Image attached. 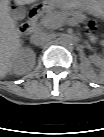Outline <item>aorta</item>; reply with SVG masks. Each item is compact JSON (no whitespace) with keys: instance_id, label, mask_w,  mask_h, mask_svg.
I'll return each mask as SVG.
<instances>
[{"instance_id":"obj_1","label":"aorta","mask_w":104,"mask_h":137,"mask_svg":"<svg viewBox=\"0 0 104 137\" xmlns=\"http://www.w3.org/2000/svg\"><path fill=\"white\" fill-rule=\"evenodd\" d=\"M59 43L65 47H69L73 45L74 39L70 35L65 34L59 38Z\"/></svg>"}]
</instances>
